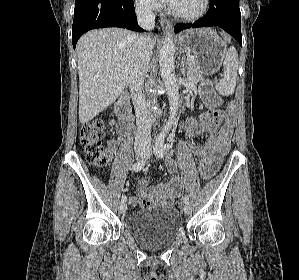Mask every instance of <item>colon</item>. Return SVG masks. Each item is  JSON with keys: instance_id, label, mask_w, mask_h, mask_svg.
Returning a JSON list of instances; mask_svg holds the SVG:
<instances>
[{"instance_id": "1", "label": "colon", "mask_w": 299, "mask_h": 280, "mask_svg": "<svg viewBox=\"0 0 299 280\" xmlns=\"http://www.w3.org/2000/svg\"><path fill=\"white\" fill-rule=\"evenodd\" d=\"M225 118L223 110L215 108L202 116L203 120H208L220 125ZM104 136L103 125L99 121H91L84 123L80 128V144L84 150L87 162L95 168H104L109 161V156L102 146V138ZM200 171L208 174V162L201 159L199 163ZM182 202L177 201L174 208L178 211L182 209Z\"/></svg>"}]
</instances>
